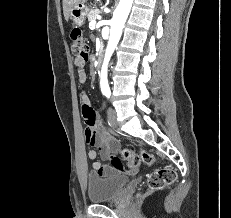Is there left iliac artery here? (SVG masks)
Wrapping results in <instances>:
<instances>
[{
    "mask_svg": "<svg viewBox=\"0 0 231 218\" xmlns=\"http://www.w3.org/2000/svg\"><path fill=\"white\" fill-rule=\"evenodd\" d=\"M104 94H105V96H106L107 98H109L110 95H111L110 91H105Z\"/></svg>",
    "mask_w": 231,
    "mask_h": 218,
    "instance_id": "obj_1",
    "label": "left iliac artery"
}]
</instances>
